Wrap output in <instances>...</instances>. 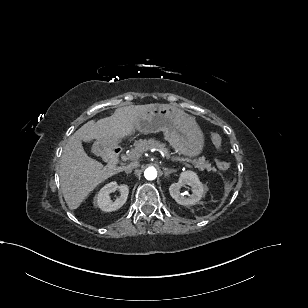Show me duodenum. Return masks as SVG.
<instances>
[{
	"mask_svg": "<svg viewBox=\"0 0 308 308\" xmlns=\"http://www.w3.org/2000/svg\"><path fill=\"white\" fill-rule=\"evenodd\" d=\"M122 148L117 145H111L103 150V155L111 162H117L122 154Z\"/></svg>",
	"mask_w": 308,
	"mask_h": 308,
	"instance_id": "410a0bca",
	"label": "duodenum"
}]
</instances>
